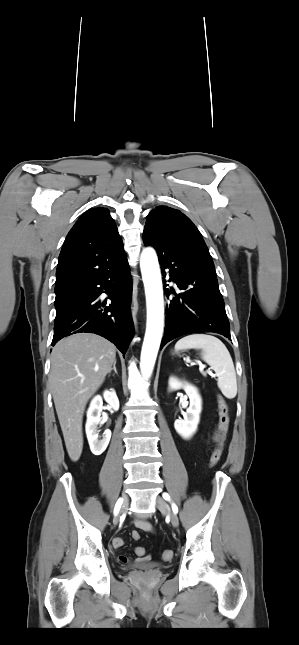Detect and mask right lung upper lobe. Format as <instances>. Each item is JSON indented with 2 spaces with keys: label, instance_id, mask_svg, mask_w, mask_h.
I'll return each mask as SVG.
<instances>
[{
  "label": "right lung upper lobe",
  "instance_id": "right-lung-upper-lobe-1",
  "mask_svg": "<svg viewBox=\"0 0 299 645\" xmlns=\"http://www.w3.org/2000/svg\"><path fill=\"white\" fill-rule=\"evenodd\" d=\"M126 258L122 239L106 208L84 213L69 231L59 255L55 291L76 287Z\"/></svg>",
  "mask_w": 299,
  "mask_h": 645
}]
</instances>
